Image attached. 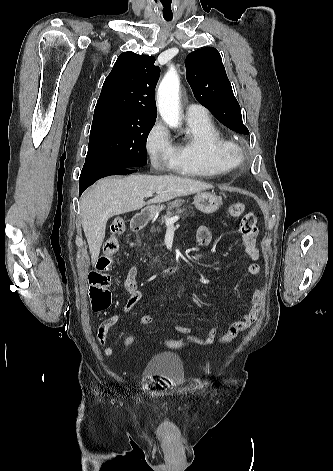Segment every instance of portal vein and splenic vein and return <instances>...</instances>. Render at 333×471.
Here are the masks:
<instances>
[{
	"mask_svg": "<svg viewBox=\"0 0 333 471\" xmlns=\"http://www.w3.org/2000/svg\"><path fill=\"white\" fill-rule=\"evenodd\" d=\"M153 195V192H147L146 196L147 197H151ZM179 220V216H175V217H171V218H167L165 223L166 225H173L175 222H177Z\"/></svg>",
	"mask_w": 333,
	"mask_h": 471,
	"instance_id": "1",
	"label": "portal vein and splenic vein"
}]
</instances>
